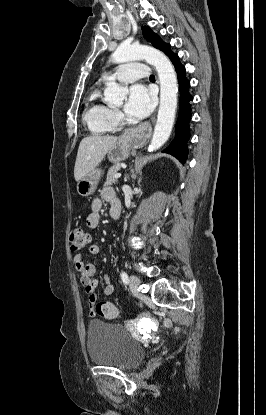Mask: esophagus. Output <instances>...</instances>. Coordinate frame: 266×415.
I'll use <instances>...</instances> for the list:
<instances>
[{
    "label": "esophagus",
    "mask_w": 266,
    "mask_h": 415,
    "mask_svg": "<svg viewBox=\"0 0 266 415\" xmlns=\"http://www.w3.org/2000/svg\"><path fill=\"white\" fill-rule=\"evenodd\" d=\"M151 120H152V122H154V121H155V115H153V116L151 117ZM129 135H130V132L125 133V136H129Z\"/></svg>",
    "instance_id": "34e87169"
}]
</instances>
